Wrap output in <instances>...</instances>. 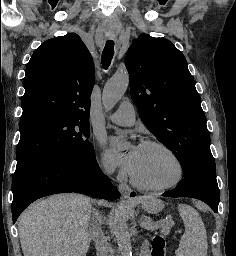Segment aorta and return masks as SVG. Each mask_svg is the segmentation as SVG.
Here are the masks:
<instances>
[{"label":"aorta","instance_id":"1","mask_svg":"<svg viewBox=\"0 0 236 256\" xmlns=\"http://www.w3.org/2000/svg\"><path fill=\"white\" fill-rule=\"evenodd\" d=\"M129 85L127 73H118L112 77L103 89V105L109 110L122 98ZM112 229L115 234L121 256H131L132 247L130 233L126 223V212L118 206L112 218Z\"/></svg>","mask_w":236,"mask_h":256}]
</instances>
